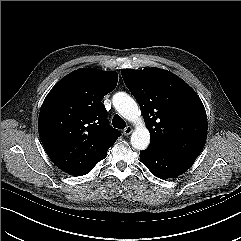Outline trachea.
Masks as SVG:
<instances>
[{"instance_id":"1","label":"trachea","mask_w":241,"mask_h":241,"mask_svg":"<svg viewBox=\"0 0 241 241\" xmlns=\"http://www.w3.org/2000/svg\"><path fill=\"white\" fill-rule=\"evenodd\" d=\"M112 124L115 128H118V129H123L126 126L125 121L119 115H115L113 117Z\"/></svg>"}]
</instances>
